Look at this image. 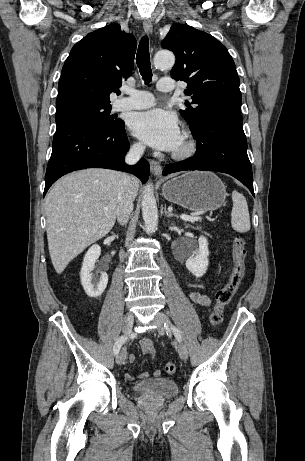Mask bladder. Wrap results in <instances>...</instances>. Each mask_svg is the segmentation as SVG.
Returning <instances> with one entry per match:
<instances>
[{"mask_svg":"<svg viewBox=\"0 0 305 461\" xmlns=\"http://www.w3.org/2000/svg\"><path fill=\"white\" fill-rule=\"evenodd\" d=\"M133 390L139 395L165 399L177 395V383L170 378H152L139 381L133 385Z\"/></svg>","mask_w":305,"mask_h":461,"instance_id":"31cf9c89","label":"bladder"}]
</instances>
